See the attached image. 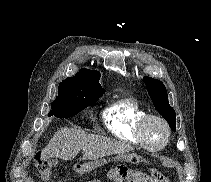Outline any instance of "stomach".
<instances>
[{"label": "stomach", "instance_id": "stomach-1", "mask_svg": "<svg viewBox=\"0 0 211 182\" xmlns=\"http://www.w3.org/2000/svg\"><path fill=\"white\" fill-rule=\"evenodd\" d=\"M119 158H120L121 160H128V159L130 158V156H129V155H125V154H121V155L119 156Z\"/></svg>", "mask_w": 211, "mask_h": 182}]
</instances>
